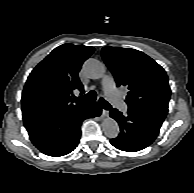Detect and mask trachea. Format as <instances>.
I'll list each match as a JSON object with an SVG mask.
<instances>
[{
    "instance_id": "obj_1",
    "label": "trachea",
    "mask_w": 194,
    "mask_h": 193,
    "mask_svg": "<svg viewBox=\"0 0 194 193\" xmlns=\"http://www.w3.org/2000/svg\"><path fill=\"white\" fill-rule=\"evenodd\" d=\"M78 100L83 101V102H93L96 100V92L90 91L88 94L78 97ZM100 104L106 110L111 109V105L106 100H104L102 97L100 98Z\"/></svg>"
}]
</instances>
